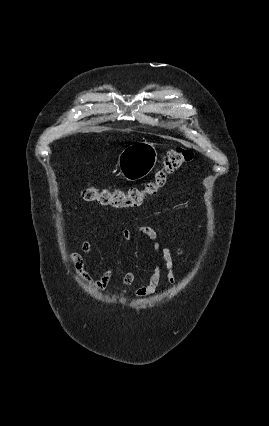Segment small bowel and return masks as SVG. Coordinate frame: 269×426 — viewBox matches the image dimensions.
<instances>
[{
	"label": "small bowel",
	"mask_w": 269,
	"mask_h": 426,
	"mask_svg": "<svg viewBox=\"0 0 269 426\" xmlns=\"http://www.w3.org/2000/svg\"><path fill=\"white\" fill-rule=\"evenodd\" d=\"M138 229L151 242L154 254L159 257L163 262V266H161L159 263L155 264L153 271L149 277L148 283L146 285L135 289L134 294L140 298H143L152 294L156 290L160 283L163 270L165 271L167 282L170 285L175 284L176 279L174 275L173 256L175 254L182 255L183 252L180 248L161 246L159 242V231L156 227L140 226ZM122 238L126 242H131L133 240L132 231L129 229H124L122 231ZM82 250L86 254H91L93 252V246L89 240H84L82 242ZM68 259L73 262L75 270L80 279L86 285L91 286L100 292L106 288L116 270V265L113 263L105 270L101 277H99L98 279H94L86 271L84 260L79 253H69ZM134 280L135 272L131 270L124 275L121 284L123 286H129L134 282Z\"/></svg>",
	"instance_id": "1"
}]
</instances>
